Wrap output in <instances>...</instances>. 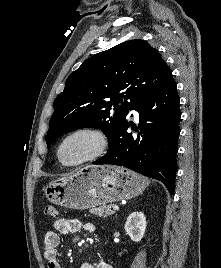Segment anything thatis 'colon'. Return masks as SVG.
<instances>
[{"mask_svg":"<svg viewBox=\"0 0 221 268\" xmlns=\"http://www.w3.org/2000/svg\"><path fill=\"white\" fill-rule=\"evenodd\" d=\"M44 213L47 217H51V218H57L58 216L57 210L53 206H47L45 208Z\"/></svg>","mask_w":221,"mask_h":268,"instance_id":"obj_1","label":"colon"}]
</instances>
